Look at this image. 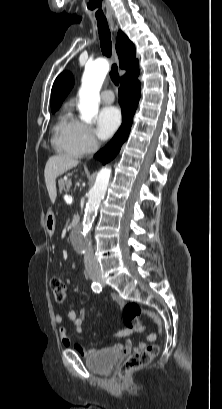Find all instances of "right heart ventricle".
I'll list each match as a JSON object with an SVG mask.
<instances>
[{
    "instance_id": "right-heart-ventricle-1",
    "label": "right heart ventricle",
    "mask_w": 222,
    "mask_h": 409,
    "mask_svg": "<svg viewBox=\"0 0 222 409\" xmlns=\"http://www.w3.org/2000/svg\"><path fill=\"white\" fill-rule=\"evenodd\" d=\"M53 144L66 156L80 157L84 154L77 137V121L69 109L61 114L54 127Z\"/></svg>"
}]
</instances>
